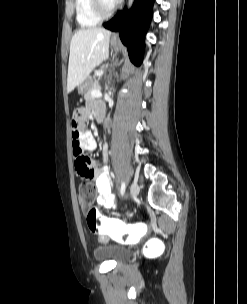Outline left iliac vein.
Listing matches in <instances>:
<instances>
[{
  "mask_svg": "<svg viewBox=\"0 0 247 304\" xmlns=\"http://www.w3.org/2000/svg\"><path fill=\"white\" fill-rule=\"evenodd\" d=\"M140 192V187L137 183H133L130 187V194L132 198H136Z\"/></svg>",
  "mask_w": 247,
  "mask_h": 304,
  "instance_id": "obj_1",
  "label": "left iliac vein"
}]
</instances>
